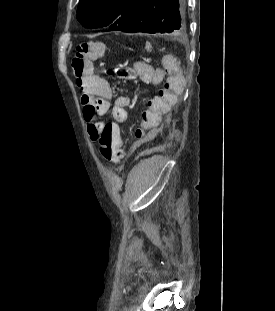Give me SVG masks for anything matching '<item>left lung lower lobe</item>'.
<instances>
[{
	"instance_id": "1",
	"label": "left lung lower lobe",
	"mask_w": 275,
	"mask_h": 311,
	"mask_svg": "<svg viewBox=\"0 0 275 311\" xmlns=\"http://www.w3.org/2000/svg\"><path fill=\"white\" fill-rule=\"evenodd\" d=\"M185 29L184 0H143L134 14L114 31L178 34Z\"/></svg>"
}]
</instances>
